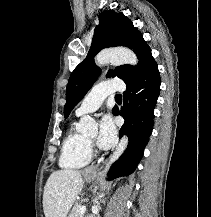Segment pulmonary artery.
I'll list each match as a JSON object with an SVG mask.
<instances>
[{
  "label": "pulmonary artery",
  "instance_id": "e3ab8cb5",
  "mask_svg": "<svg viewBox=\"0 0 211 217\" xmlns=\"http://www.w3.org/2000/svg\"><path fill=\"white\" fill-rule=\"evenodd\" d=\"M124 90L125 84L118 78L99 82L93 86L90 92L83 99L79 107L76 109V114L81 116L92 113L99 109L107 96Z\"/></svg>",
  "mask_w": 211,
  "mask_h": 217
}]
</instances>
